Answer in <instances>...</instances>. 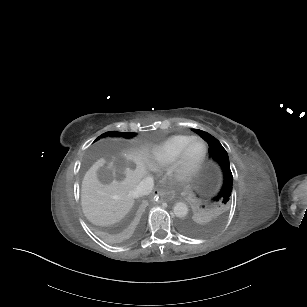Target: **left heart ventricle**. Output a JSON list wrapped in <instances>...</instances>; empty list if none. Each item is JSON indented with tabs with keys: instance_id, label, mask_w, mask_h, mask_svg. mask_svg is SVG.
Instances as JSON below:
<instances>
[{
	"instance_id": "left-heart-ventricle-1",
	"label": "left heart ventricle",
	"mask_w": 307,
	"mask_h": 307,
	"mask_svg": "<svg viewBox=\"0 0 307 307\" xmlns=\"http://www.w3.org/2000/svg\"><path fill=\"white\" fill-rule=\"evenodd\" d=\"M204 146L201 142H193L187 152L186 162L188 164L196 163L203 155Z\"/></svg>"
}]
</instances>
